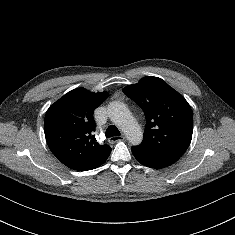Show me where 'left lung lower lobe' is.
Wrapping results in <instances>:
<instances>
[{"label":"left lung lower lobe","mask_w":235,"mask_h":235,"mask_svg":"<svg viewBox=\"0 0 235 235\" xmlns=\"http://www.w3.org/2000/svg\"><path fill=\"white\" fill-rule=\"evenodd\" d=\"M132 153L141 164L151 168H164L175 163L180 157L163 152L132 147Z\"/></svg>","instance_id":"1"}]
</instances>
